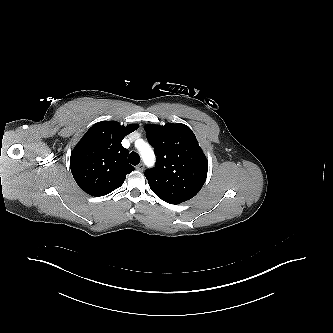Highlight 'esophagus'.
I'll list each match as a JSON object with an SVG mask.
<instances>
[{
    "label": "esophagus",
    "mask_w": 333,
    "mask_h": 333,
    "mask_svg": "<svg viewBox=\"0 0 333 333\" xmlns=\"http://www.w3.org/2000/svg\"><path fill=\"white\" fill-rule=\"evenodd\" d=\"M136 170H138V171H143V170H144V165H143L142 163L138 164V165L136 166Z\"/></svg>",
    "instance_id": "esophagus-1"
}]
</instances>
